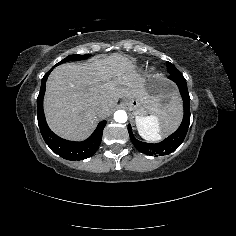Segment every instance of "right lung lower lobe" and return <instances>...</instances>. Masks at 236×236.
Returning a JSON list of instances; mask_svg holds the SVG:
<instances>
[{
    "mask_svg": "<svg viewBox=\"0 0 236 236\" xmlns=\"http://www.w3.org/2000/svg\"><path fill=\"white\" fill-rule=\"evenodd\" d=\"M53 68L43 77L40 93L37 98V118L40 132L49 148L62 158L67 160H83L89 158L97 151L101 143L106 120L101 121L93 134L87 140L82 142L68 141L54 134L48 127L43 112V97L45 93L46 80Z\"/></svg>",
    "mask_w": 236,
    "mask_h": 236,
    "instance_id": "right-lung-lower-lobe-1",
    "label": "right lung lower lobe"
}]
</instances>
